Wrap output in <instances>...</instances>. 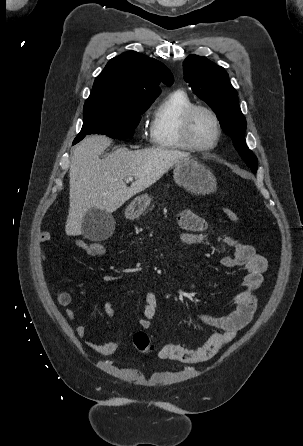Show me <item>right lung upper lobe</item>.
Returning a JSON list of instances; mask_svg holds the SVG:
<instances>
[{
    "label": "right lung upper lobe",
    "mask_w": 303,
    "mask_h": 446,
    "mask_svg": "<svg viewBox=\"0 0 303 446\" xmlns=\"http://www.w3.org/2000/svg\"><path fill=\"white\" fill-rule=\"evenodd\" d=\"M160 82L172 85L170 70L156 59L129 51L107 63L84 107L150 106L161 92Z\"/></svg>",
    "instance_id": "right-lung-upper-lobe-1"
}]
</instances>
